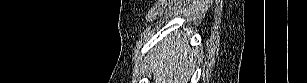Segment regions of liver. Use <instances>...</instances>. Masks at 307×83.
Masks as SVG:
<instances>
[{
    "label": "liver",
    "mask_w": 307,
    "mask_h": 83,
    "mask_svg": "<svg viewBox=\"0 0 307 83\" xmlns=\"http://www.w3.org/2000/svg\"><path fill=\"white\" fill-rule=\"evenodd\" d=\"M195 54L185 37L175 35L165 38L153 51L152 72L155 83H187L194 70Z\"/></svg>",
    "instance_id": "obj_1"
}]
</instances>
